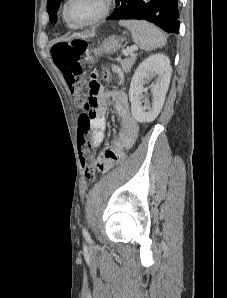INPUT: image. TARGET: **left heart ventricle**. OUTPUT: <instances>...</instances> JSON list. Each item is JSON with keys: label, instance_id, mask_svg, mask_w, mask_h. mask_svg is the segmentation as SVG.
<instances>
[{"label": "left heart ventricle", "instance_id": "1", "mask_svg": "<svg viewBox=\"0 0 227 298\" xmlns=\"http://www.w3.org/2000/svg\"><path fill=\"white\" fill-rule=\"evenodd\" d=\"M102 8V0H71L69 16L75 23H83L98 15Z\"/></svg>", "mask_w": 227, "mask_h": 298}]
</instances>
